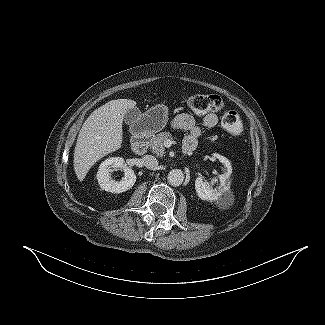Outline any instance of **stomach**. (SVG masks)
<instances>
[{"label": "stomach", "mask_w": 325, "mask_h": 325, "mask_svg": "<svg viewBox=\"0 0 325 325\" xmlns=\"http://www.w3.org/2000/svg\"><path fill=\"white\" fill-rule=\"evenodd\" d=\"M168 122V109L164 105H156L142 114L135 122L137 133H156L161 131Z\"/></svg>", "instance_id": "obj_1"}]
</instances>
